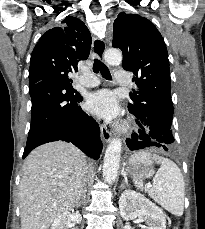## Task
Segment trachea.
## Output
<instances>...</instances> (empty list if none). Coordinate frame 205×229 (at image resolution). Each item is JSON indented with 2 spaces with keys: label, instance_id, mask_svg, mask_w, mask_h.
I'll use <instances>...</instances> for the list:
<instances>
[{
  "label": "trachea",
  "instance_id": "1",
  "mask_svg": "<svg viewBox=\"0 0 205 229\" xmlns=\"http://www.w3.org/2000/svg\"><path fill=\"white\" fill-rule=\"evenodd\" d=\"M93 71L95 73H98L100 71V73L103 76V78H105L107 80H111L112 79L110 71L107 68V66L97 58L94 59Z\"/></svg>",
  "mask_w": 205,
  "mask_h": 229
}]
</instances>
